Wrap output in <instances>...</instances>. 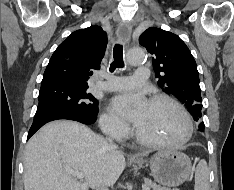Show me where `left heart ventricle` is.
Segmentation results:
<instances>
[{
	"instance_id": "obj_1",
	"label": "left heart ventricle",
	"mask_w": 234,
	"mask_h": 190,
	"mask_svg": "<svg viewBox=\"0 0 234 190\" xmlns=\"http://www.w3.org/2000/svg\"><path fill=\"white\" fill-rule=\"evenodd\" d=\"M136 127L143 136L156 140L179 139L185 132V122L179 111L163 101L149 102Z\"/></svg>"
}]
</instances>
